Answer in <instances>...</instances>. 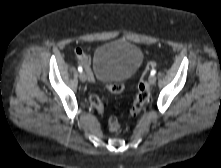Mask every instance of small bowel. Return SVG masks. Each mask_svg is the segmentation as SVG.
<instances>
[{"label":"small bowel","mask_w":221,"mask_h":168,"mask_svg":"<svg viewBox=\"0 0 221 168\" xmlns=\"http://www.w3.org/2000/svg\"><path fill=\"white\" fill-rule=\"evenodd\" d=\"M76 56L80 63H82L86 68H89L90 59L81 49L76 50Z\"/></svg>","instance_id":"obj_1"}]
</instances>
